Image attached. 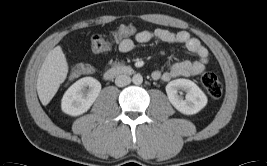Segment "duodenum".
<instances>
[{
    "label": "duodenum",
    "instance_id": "duodenum-1",
    "mask_svg": "<svg viewBox=\"0 0 267 166\" xmlns=\"http://www.w3.org/2000/svg\"><path fill=\"white\" fill-rule=\"evenodd\" d=\"M132 74H133V68L131 66L116 65L105 70L103 76L106 80H108L116 76L132 75Z\"/></svg>",
    "mask_w": 267,
    "mask_h": 166
}]
</instances>
